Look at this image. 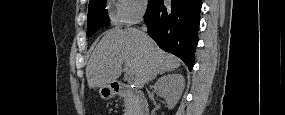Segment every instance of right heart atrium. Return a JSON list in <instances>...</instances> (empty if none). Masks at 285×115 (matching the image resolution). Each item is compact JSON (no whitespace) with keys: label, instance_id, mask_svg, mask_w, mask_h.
Here are the masks:
<instances>
[{"label":"right heart atrium","instance_id":"d8ad5b80","mask_svg":"<svg viewBox=\"0 0 285 115\" xmlns=\"http://www.w3.org/2000/svg\"><path fill=\"white\" fill-rule=\"evenodd\" d=\"M145 9L143 0H118L115 2L114 19L118 24L132 25L142 18Z\"/></svg>","mask_w":285,"mask_h":115}]
</instances>
